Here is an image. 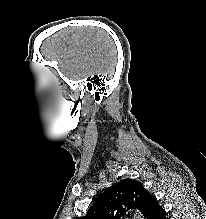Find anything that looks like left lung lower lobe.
Wrapping results in <instances>:
<instances>
[{"label": "left lung lower lobe", "instance_id": "1", "mask_svg": "<svg viewBox=\"0 0 206 219\" xmlns=\"http://www.w3.org/2000/svg\"><path fill=\"white\" fill-rule=\"evenodd\" d=\"M165 210L158 204L155 197L151 200L150 211L147 215V219H166Z\"/></svg>", "mask_w": 206, "mask_h": 219}]
</instances>
